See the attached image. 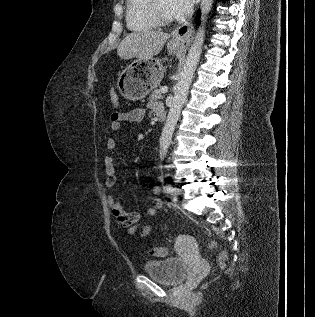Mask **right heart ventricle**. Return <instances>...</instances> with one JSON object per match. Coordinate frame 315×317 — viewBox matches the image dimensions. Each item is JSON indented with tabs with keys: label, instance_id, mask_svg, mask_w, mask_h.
Returning <instances> with one entry per match:
<instances>
[{
	"label": "right heart ventricle",
	"instance_id": "1",
	"mask_svg": "<svg viewBox=\"0 0 315 317\" xmlns=\"http://www.w3.org/2000/svg\"><path fill=\"white\" fill-rule=\"evenodd\" d=\"M125 18L131 31H148L157 26L151 15L150 0H126Z\"/></svg>",
	"mask_w": 315,
	"mask_h": 317
}]
</instances>
